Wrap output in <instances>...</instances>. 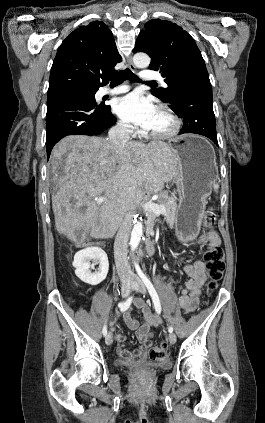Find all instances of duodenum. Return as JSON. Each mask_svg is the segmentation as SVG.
Masks as SVG:
<instances>
[{
    "label": "duodenum",
    "mask_w": 265,
    "mask_h": 423,
    "mask_svg": "<svg viewBox=\"0 0 265 423\" xmlns=\"http://www.w3.org/2000/svg\"><path fill=\"white\" fill-rule=\"evenodd\" d=\"M145 252L147 256H151L155 252V243L152 239H148L145 243Z\"/></svg>",
    "instance_id": "duodenum-1"
}]
</instances>
